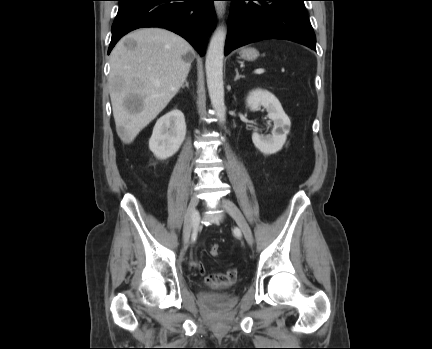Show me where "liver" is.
Here are the masks:
<instances>
[{
    "mask_svg": "<svg viewBox=\"0 0 432 349\" xmlns=\"http://www.w3.org/2000/svg\"><path fill=\"white\" fill-rule=\"evenodd\" d=\"M133 40L134 49L125 42ZM190 54L189 59L184 57ZM194 58L192 46L165 29L143 28L122 38L110 55V98L116 131L124 144L134 141L184 84ZM135 101L136 108L127 102Z\"/></svg>",
    "mask_w": 432,
    "mask_h": 349,
    "instance_id": "liver-1",
    "label": "liver"
}]
</instances>
